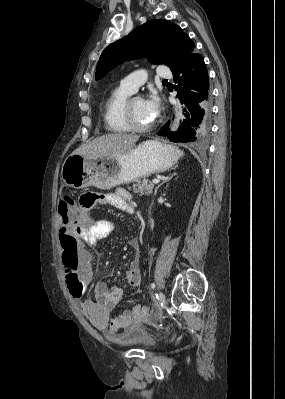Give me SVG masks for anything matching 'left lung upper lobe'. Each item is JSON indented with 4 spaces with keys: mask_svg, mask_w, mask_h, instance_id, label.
I'll return each mask as SVG.
<instances>
[{
    "mask_svg": "<svg viewBox=\"0 0 285 399\" xmlns=\"http://www.w3.org/2000/svg\"><path fill=\"white\" fill-rule=\"evenodd\" d=\"M194 49L195 44L176 24L150 20L104 49L97 64L96 78L100 79L124 60L143 54L149 55L151 63H165L174 71Z\"/></svg>",
    "mask_w": 285,
    "mask_h": 399,
    "instance_id": "1",
    "label": "left lung upper lobe"
}]
</instances>
